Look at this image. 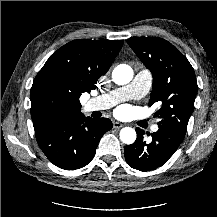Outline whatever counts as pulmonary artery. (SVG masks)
<instances>
[{"mask_svg":"<svg viewBox=\"0 0 217 217\" xmlns=\"http://www.w3.org/2000/svg\"><path fill=\"white\" fill-rule=\"evenodd\" d=\"M151 85L152 75L150 71L147 69H142L135 75L129 84L88 100L84 105V111L93 112L106 110L119 102L129 99L142 98L149 92ZM158 129L159 126L157 124H153L151 126L152 132H157Z\"/></svg>","mask_w":217,"mask_h":217,"instance_id":"obj_1","label":"pulmonary artery"}]
</instances>
